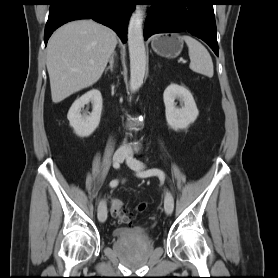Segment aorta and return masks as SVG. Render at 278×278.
Listing matches in <instances>:
<instances>
[{
  "label": "aorta",
  "instance_id": "obj_1",
  "mask_svg": "<svg viewBox=\"0 0 278 278\" xmlns=\"http://www.w3.org/2000/svg\"><path fill=\"white\" fill-rule=\"evenodd\" d=\"M143 11L137 8L131 15L128 24V48L130 56V90L137 91L142 83L146 71V51L143 38Z\"/></svg>",
  "mask_w": 278,
  "mask_h": 278
}]
</instances>
